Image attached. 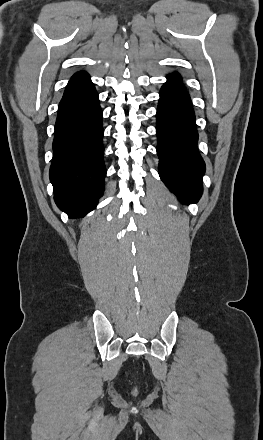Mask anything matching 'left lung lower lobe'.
I'll use <instances>...</instances> for the list:
<instances>
[{
	"label": "left lung lower lobe",
	"mask_w": 263,
	"mask_h": 440,
	"mask_svg": "<svg viewBox=\"0 0 263 440\" xmlns=\"http://www.w3.org/2000/svg\"><path fill=\"white\" fill-rule=\"evenodd\" d=\"M156 117L160 178L182 203H196L202 194L205 164L197 148L190 96L178 73L167 76Z\"/></svg>",
	"instance_id": "0a47b994"
}]
</instances>
